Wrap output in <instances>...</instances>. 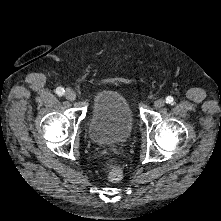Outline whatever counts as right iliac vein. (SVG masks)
Returning <instances> with one entry per match:
<instances>
[{"label": "right iliac vein", "instance_id": "63e3f726", "mask_svg": "<svg viewBox=\"0 0 221 221\" xmlns=\"http://www.w3.org/2000/svg\"><path fill=\"white\" fill-rule=\"evenodd\" d=\"M65 97L66 99H68L69 101H74L76 98V94L73 90L68 89L65 93Z\"/></svg>", "mask_w": 221, "mask_h": 221}]
</instances>
